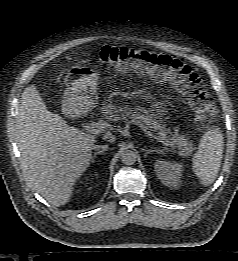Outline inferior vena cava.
<instances>
[{
    "instance_id": "602c4592",
    "label": "inferior vena cava",
    "mask_w": 238,
    "mask_h": 261,
    "mask_svg": "<svg viewBox=\"0 0 238 261\" xmlns=\"http://www.w3.org/2000/svg\"><path fill=\"white\" fill-rule=\"evenodd\" d=\"M105 147L108 148V146H106V145H105ZM100 148L103 149L102 146H100V145H96L93 147V149H95V150H99Z\"/></svg>"
}]
</instances>
